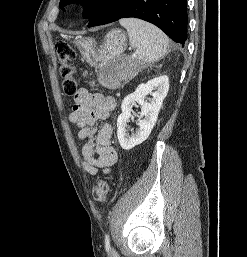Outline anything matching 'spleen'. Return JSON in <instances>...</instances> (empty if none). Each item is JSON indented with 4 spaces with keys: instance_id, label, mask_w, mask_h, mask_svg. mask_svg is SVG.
<instances>
[{
    "instance_id": "3e777b00",
    "label": "spleen",
    "mask_w": 247,
    "mask_h": 257,
    "mask_svg": "<svg viewBox=\"0 0 247 257\" xmlns=\"http://www.w3.org/2000/svg\"><path fill=\"white\" fill-rule=\"evenodd\" d=\"M119 22L127 29L142 65L154 63L168 53L169 39L156 26L136 18H124Z\"/></svg>"
}]
</instances>
